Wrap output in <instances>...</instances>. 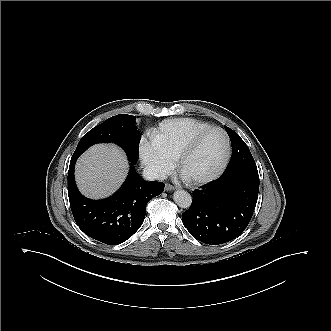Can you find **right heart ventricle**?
Instances as JSON below:
<instances>
[{"instance_id":"e07e8e85","label":"right heart ventricle","mask_w":331,"mask_h":331,"mask_svg":"<svg viewBox=\"0 0 331 331\" xmlns=\"http://www.w3.org/2000/svg\"><path fill=\"white\" fill-rule=\"evenodd\" d=\"M211 127L193 118H173L163 121L152 136V143L173 156L179 154L184 144L196 133Z\"/></svg>"}]
</instances>
